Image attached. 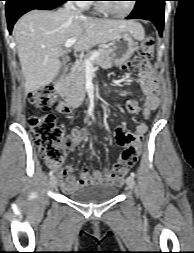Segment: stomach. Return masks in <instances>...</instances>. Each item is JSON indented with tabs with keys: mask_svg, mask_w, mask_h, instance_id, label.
<instances>
[{
	"mask_svg": "<svg viewBox=\"0 0 194 253\" xmlns=\"http://www.w3.org/2000/svg\"><path fill=\"white\" fill-rule=\"evenodd\" d=\"M136 37L129 31L119 33L112 40V62L116 66L122 65L136 49Z\"/></svg>",
	"mask_w": 194,
	"mask_h": 253,
	"instance_id": "0dacf381",
	"label": "stomach"
}]
</instances>
